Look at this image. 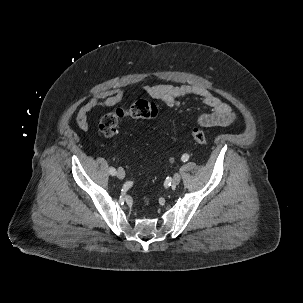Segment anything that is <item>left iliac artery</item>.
<instances>
[{
  "label": "left iliac artery",
  "instance_id": "44dca946",
  "mask_svg": "<svg viewBox=\"0 0 303 303\" xmlns=\"http://www.w3.org/2000/svg\"><path fill=\"white\" fill-rule=\"evenodd\" d=\"M188 159H189V155H188V154H184V155H182L181 160H182L183 162L188 161Z\"/></svg>",
  "mask_w": 303,
  "mask_h": 303
}]
</instances>
